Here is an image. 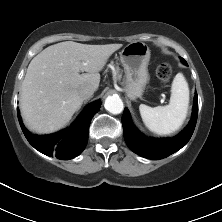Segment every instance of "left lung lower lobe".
<instances>
[{"label": "left lung lower lobe", "mask_w": 222, "mask_h": 222, "mask_svg": "<svg viewBox=\"0 0 222 222\" xmlns=\"http://www.w3.org/2000/svg\"><path fill=\"white\" fill-rule=\"evenodd\" d=\"M198 116V97L195 94L193 113L187 127L174 138L154 139L140 133L132 124L128 110L122 117L124 139L128 147L136 154L153 160L165 158L181 149L190 140Z\"/></svg>", "instance_id": "1"}]
</instances>
